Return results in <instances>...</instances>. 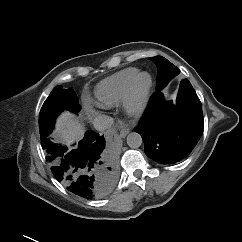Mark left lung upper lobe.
<instances>
[{
  "label": "left lung upper lobe",
  "instance_id": "left-lung-upper-lobe-1",
  "mask_svg": "<svg viewBox=\"0 0 242 242\" xmlns=\"http://www.w3.org/2000/svg\"><path fill=\"white\" fill-rule=\"evenodd\" d=\"M149 59L156 64L158 69L156 89L164 88L171 80V78H173L180 72L175 65H173L164 57L155 56Z\"/></svg>",
  "mask_w": 242,
  "mask_h": 242
}]
</instances>
